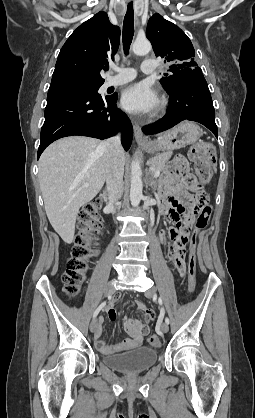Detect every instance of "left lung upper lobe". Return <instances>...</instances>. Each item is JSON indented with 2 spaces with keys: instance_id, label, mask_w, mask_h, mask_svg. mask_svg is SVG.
I'll return each instance as SVG.
<instances>
[{
  "instance_id": "1",
  "label": "left lung upper lobe",
  "mask_w": 255,
  "mask_h": 418,
  "mask_svg": "<svg viewBox=\"0 0 255 418\" xmlns=\"http://www.w3.org/2000/svg\"><path fill=\"white\" fill-rule=\"evenodd\" d=\"M147 38L154 53L169 64V74L164 73L160 83L167 93L182 79L202 73L194 61L195 51L190 39L175 24L165 20L160 14H154L147 25Z\"/></svg>"
}]
</instances>
